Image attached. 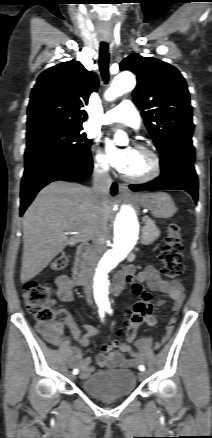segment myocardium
I'll use <instances>...</instances> for the list:
<instances>
[{
  "label": "myocardium",
  "mask_w": 212,
  "mask_h": 438,
  "mask_svg": "<svg viewBox=\"0 0 212 438\" xmlns=\"http://www.w3.org/2000/svg\"><path fill=\"white\" fill-rule=\"evenodd\" d=\"M136 149L141 151V152H144L145 154H147L150 157L151 163H152L151 170L149 171V173H147L146 175L141 176V177L129 176V175L125 174L124 172H122L123 179L128 181V182L136 183V184H144V183H148V182L155 180L160 175L161 170H162V164H161L160 157L158 156V154L155 151H153L152 149H150L147 146L138 145L136 147Z\"/></svg>",
  "instance_id": "myocardium-1"
}]
</instances>
